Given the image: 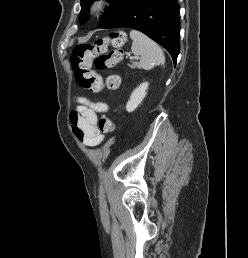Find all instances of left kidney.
Here are the masks:
<instances>
[{"label": "left kidney", "mask_w": 248, "mask_h": 258, "mask_svg": "<svg viewBox=\"0 0 248 258\" xmlns=\"http://www.w3.org/2000/svg\"><path fill=\"white\" fill-rule=\"evenodd\" d=\"M148 86L149 84L147 82L142 83L132 92L129 101L126 104V110L128 112H133L138 107V105L141 104L146 96V90L148 89Z\"/></svg>", "instance_id": "1"}]
</instances>
